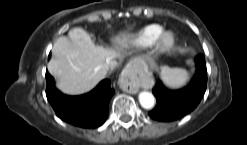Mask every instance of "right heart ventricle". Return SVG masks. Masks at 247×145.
Wrapping results in <instances>:
<instances>
[{"instance_id":"obj_1","label":"right heart ventricle","mask_w":247,"mask_h":145,"mask_svg":"<svg viewBox=\"0 0 247 145\" xmlns=\"http://www.w3.org/2000/svg\"><path fill=\"white\" fill-rule=\"evenodd\" d=\"M162 30L163 27L159 24L146 25L128 38L127 45L133 48H146L154 43Z\"/></svg>"}]
</instances>
